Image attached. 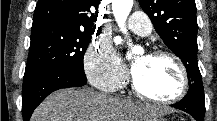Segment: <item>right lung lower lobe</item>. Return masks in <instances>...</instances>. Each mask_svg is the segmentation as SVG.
Masks as SVG:
<instances>
[{"mask_svg":"<svg viewBox=\"0 0 217 121\" xmlns=\"http://www.w3.org/2000/svg\"><path fill=\"white\" fill-rule=\"evenodd\" d=\"M86 82L85 75L76 74L65 68H49L24 75L23 120L29 121L34 109L53 91L68 87H81Z\"/></svg>","mask_w":217,"mask_h":121,"instance_id":"1","label":"right lung lower lobe"}]
</instances>
